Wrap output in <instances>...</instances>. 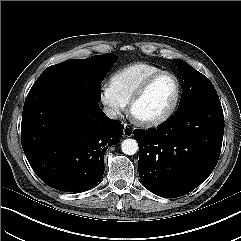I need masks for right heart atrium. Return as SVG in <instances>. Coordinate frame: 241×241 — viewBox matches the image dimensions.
Wrapping results in <instances>:
<instances>
[{
    "label": "right heart atrium",
    "mask_w": 241,
    "mask_h": 241,
    "mask_svg": "<svg viewBox=\"0 0 241 241\" xmlns=\"http://www.w3.org/2000/svg\"><path fill=\"white\" fill-rule=\"evenodd\" d=\"M99 97L107 113L112 117L121 115L127 108V103L119 96L110 83H104L101 86Z\"/></svg>",
    "instance_id": "obj_1"
}]
</instances>
